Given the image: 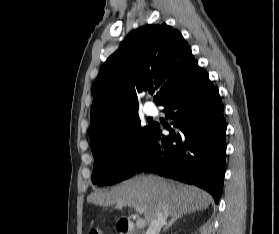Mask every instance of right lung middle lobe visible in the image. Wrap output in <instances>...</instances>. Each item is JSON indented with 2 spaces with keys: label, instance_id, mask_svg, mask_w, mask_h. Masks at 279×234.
Here are the masks:
<instances>
[{
  "label": "right lung middle lobe",
  "instance_id": "1",
  "mask_svg": "<svg viewBox=\"0 0 279 234\" xmlns=\"http://www.w3.org/2000/svg\"><path fill=\"white\" fill-rule=\"evenodd\" d=\"M153 124L141 126L138 114L91 145L94 167L91 180L98 185H112L133 176L147 151Z\"/></svg>",
  "mask_w": 279,
  "mask_h": 234
}]
</instances>
